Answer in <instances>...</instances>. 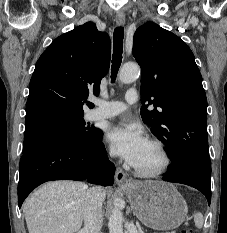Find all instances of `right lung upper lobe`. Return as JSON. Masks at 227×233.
<instances>
[{
	"instance_id": "cb5924a9",
	"label": "right lung upper lobe",
	"mask_w": 227,
	"mask_h": 233,
	"mask_svg": "<svg viewBox=\"0 0 227 233\" xmlns=\"http://www.w3.org/2000/svg\"><path fill=\"white\" fill-rule=\"evenodd\" d=\"M110 52L109 36L92 22L56 38L38 59L30 81L25 135L83 117L89 93H99L109 70Z\"/></svg>"
}]
</instances>
